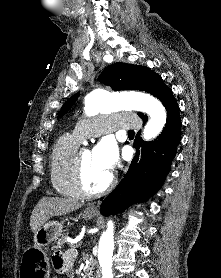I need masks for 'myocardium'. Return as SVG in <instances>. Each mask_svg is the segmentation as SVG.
<instances>
[{
    "instance_id": "1",
    "label": "myocardium",
    "mask_w": 221,
    "mask_h": 278,
    "mask_svg": "<svg viewBox=\"0 0 221 278\" xmlns=\"http://www.w3.org/2000/svg\"><path fill=\"white\" fill-rule=\"evenodd\" d=\"M83 155L84 150L77 151L72 165V184L76 192L83 198H95L107 193L116 182V175L110 173L107 183L98 190H89L83 180Z\"/></svg>"
}]
</instances>
